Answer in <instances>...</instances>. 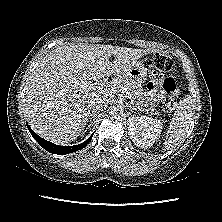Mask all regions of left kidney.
<instances>
[{
  "instance_id": "1",
  "label": "left kidney",
  "mask_w": 222,
  "mask_h": 222,
  "mask_svg": "<svg viewBox=\"0 0 222 222\" xmlns=\"http://www.w3.org/2000/svg\"><path fill=\"white\" fill-rule=\"evenodd\" d=\"M129 135L135 145L150 148L159 138L163 122L148 116L133 115L128 118Z\"/></svg>"
}]
</instances>
